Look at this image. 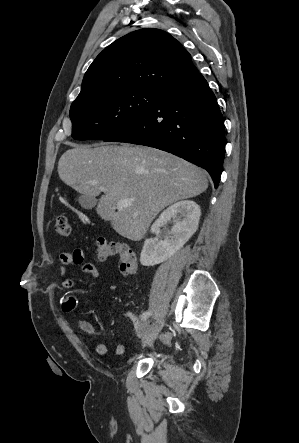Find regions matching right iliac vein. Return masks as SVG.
<instances>
[{
	"instance_id": "63e3f726",
	"label": "right iliac vein",
	"mask_w": 299,
	"mask_h": 443,
	"mask_svg": "<svg viewBox=\"0 0 299 443\" xmlns=\"http://www.w3.org/2000/svg\"><path fill=\"white\" fill-rule=\"evenodd\" d=\"M148 324H149V321H146L145 325H148ZM162 327H163L162 320H158L148 327V330H147L144 340H143V347L149 346L155 341V339L158 336Z\"/></svg>"
}]
</instances>
